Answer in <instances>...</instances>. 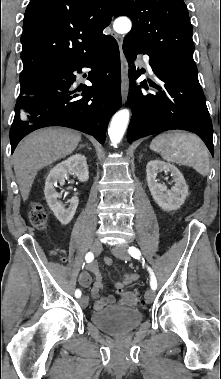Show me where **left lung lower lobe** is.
I'll use <instances>...</instances> for the list:
<instances>
[{"instance_id": "obj_1", "label": "left lung lower lobe", "mask_w": 221, "mask_h": 379, "mask_svg": "<svg viewBox=\"0 0 221 379\" xmlns=\"http://www.w3.org/2000/svg\"><path fill=\"white\" fill-rule=\"evenodd\" d=\"M123 51L129 64L137 54H148L152 70L160 80L159 85L150 84L159 92H142L140 86L146 89L148 86L145 81L140 86L133 84L140 73L136 74L135 66H130L128 102L133 114L127 131L128 142L162 131L182 129L196 133L213 155L212 122L197 71L161 61L130 38L124 39Z\"/></svg>"}]
</instances>
